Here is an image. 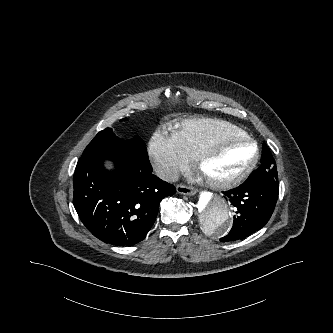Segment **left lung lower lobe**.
Listing matches in <instances>:
<instances>
[{"label": "left lung lower lobe", "instance_id": "left-lung-lower-lobe-1", "mask_svg": "<svg viewBox=\"0 0 333 333\" xmlns=\"http://www.w3.org/2000/svg\"><path fill=\"white\" fill-rule=\"evenodd\" d=\"M262 154H271L265 143ZM278 193V181H245L237 188L223 192L235 207L236 215L231 231L220 241L243 239L266 225L274 211Z\"/></svg>", "mask_w": 333, "mask_h": 333}]
</instances>
